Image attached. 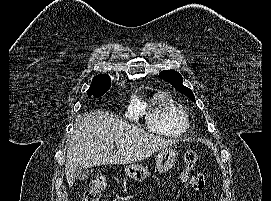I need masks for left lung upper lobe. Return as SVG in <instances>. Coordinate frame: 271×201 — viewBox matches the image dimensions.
Listing matches in <instances>:
<instances>
[{
  "mask_svg": "<svg viewBox=\"0 0 271 201\" xmlns=\"http://www.w3.org/2000/svg\"><path fill=\"white\" fill-rule=\"evenodd\" d=\"M159 77L169 82L179 92L184 93L190 100L195 102V97L192 91L183 85L181 75L174 70H164L159 74Z\"/></svg>",
  "mask_w": 271,
  "mask_h": 201,
  "instance_id": "1",
  "label": "left lung upper lobe"
}]
</instances>
